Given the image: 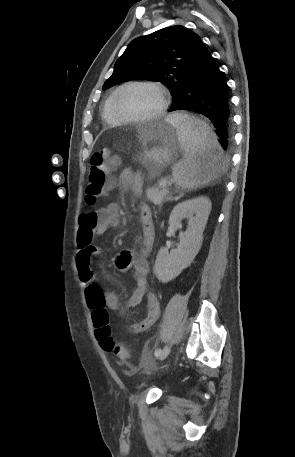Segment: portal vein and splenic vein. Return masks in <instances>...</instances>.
Segmentation results:
<instances>
[{"mask_svg":"<svg viewBox=\"0 0 295 457\" xmlns=\"http://www.w3.org/2000/svg\"><path fill=\"white\" fill-rule=\"evenodd\" d=\"M159 183H160V185H162V186H166V185H167V181H166L165 179L160 180Z\"/></svg>","mask_w":295,"mask_h":457,"instance_id":"1","label":"portal vein and splenic vein"}]
</instances>
